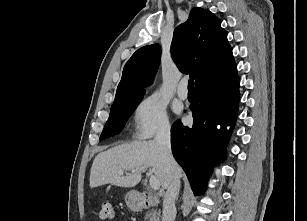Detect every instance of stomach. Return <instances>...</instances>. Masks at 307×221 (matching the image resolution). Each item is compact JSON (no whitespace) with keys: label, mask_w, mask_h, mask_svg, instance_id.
Returning a JSON list of instances; mask_svg holds the SVG:
<instances>
[{"label":"stomach","mask_w":307,"mask_h":221,"mask_svg":"<svg viewBox=\"0 0 307 221\" xmlns=\"http://www.w3.org/2000/svg\"><path fill=\"white\" fill-rule=\"evenodd\" d=\"M126 203L127 205L130 207V208H135V207H138L139 206V203L137 200H134L132 198V192H129L127 195H126Z\"/></svg>","instance_id":"0dacf381"}]
</instances>
